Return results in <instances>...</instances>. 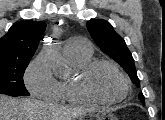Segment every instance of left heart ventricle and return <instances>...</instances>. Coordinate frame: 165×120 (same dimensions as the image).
<instances>
[{
	"mask_svg": "<svg viewBox=\"0 0 165 120\" xmlns=\"http://www.w3.org/2000/svg\"><path fill=\"white\" fill-rule=\"evenodd\" d=\"M91 86L95 94L104 99L120 97L125 88L120 74L109 66H101L94 72Z\"/></svg>",
	"mask_w": 165,
	"mask_h": 120,
	"instance_id": "obj_1",
	"label": "left heart ventricle"
}]
</instances>
